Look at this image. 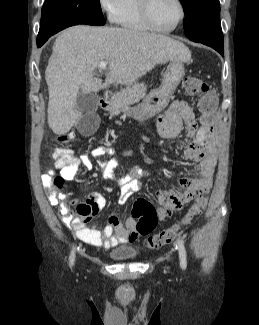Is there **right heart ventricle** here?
Listing matches in <instances>:
<instances>
[{"instance_id":"1","label":"right heart ventricle","mask_w":259,"mask_h":325,"mask_svg":"<svg viewBox=\"0 0 259 325\" xmlns=\"http://www.w3.org/2000/svg\"><path fill=\"white\" fill-rule=\"evenodd\" d=\"M114 21L120 26L130 30H150L142 18L139 0H122Z\"/></svg>"}]
</instances>
